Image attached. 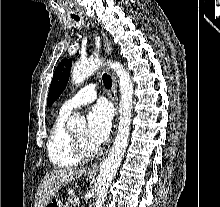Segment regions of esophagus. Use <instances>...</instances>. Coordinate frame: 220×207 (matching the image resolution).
Wrapping results in <instances>:
<instances>
[{"label": "esophagus", "instance_id": "esophagus-1", "mask_svg": "<svg viewBox=\"0 0 220 207\" xmlns=\"http://www.w3.org/2000/svg\"><path fill=\"white\" fill-rule=\"evenodd\" d=\"M92 25L94 26V24H92ZM102 41H103V48H104L105 53L107 55H111L112 46H111L108 38L104 34H103ZM111 77H112V89H111V93H110V99L115 107L116 123L114 125V132H113V135H115L116 127H117V120H118L117 79H116V76L113 72L111 73ZM104 159H105V156H103L97 162H95L92 165V167L89 169V174H96L98 172V170L100 169Z\"/></svg>", "mask_w": 220, "mask_h": 207}]
</instances>
